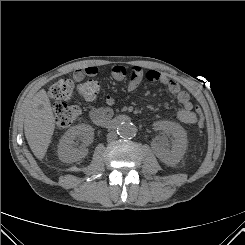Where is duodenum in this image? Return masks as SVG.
I'll use <instances>...</instances> for the list:
<instances>
[{"mask_svg":"<svg viewBox=\"0 0 245 245\" xmlns=\"http://www.w3.org/2000/svg\"><path fill=\"white\" fill-rule=\"evenodd\" d=\"M130 118L126 115L117 116L113 119L108 120H101L98 122V125L104 128L108 129H114L117 128L119 125H121L124 122H128Z\"/></svg>","mask_w":245,"mask_h":245,"instance_id":"duodenum-1","label":"duodenum"}]
</instances>
